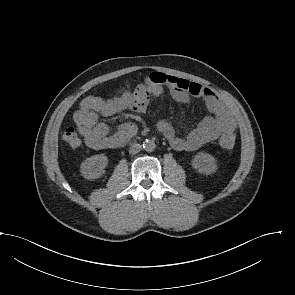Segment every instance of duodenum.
Masks as SVG:
<instances>
[{
    "mask_svg": "<svg viewBox=\"0 0 295 295\" xmlns=\"http://www.w3.org/2000/svg\"><path fill=\"white\" fill-rule=\"evenodd\" d=\"M125 141H121L119 144H122V143H124Z\"/></svg>",
    "mask_w": 295,
    "mask_h": 295,
    "instance_id": "1",
    "label": "duodenum"
}]
</instances>
